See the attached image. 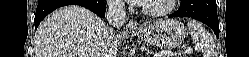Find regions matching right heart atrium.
<instances>
[{"label":"right heart atrium","instance_id":"d8ad5b80","mask_svg":"<svg viewBox=\"0 0 249 57\" xmlns=\"http://www.w3.org/2000/svg\"><path fill=\"white\" fill-rule=\"evenodd\" d=\"M110 4H111L113 7L117 8V9H119V8L122 6V3L117 2V1L110 2Z\"/></svg>","mask_w":249,"mask_h":57}]
</instances>
